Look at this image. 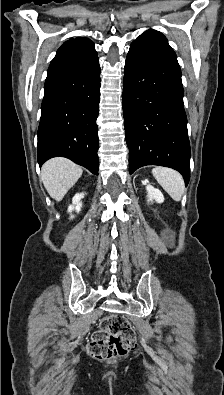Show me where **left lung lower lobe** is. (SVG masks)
<instances>
[{"mask_svg":"<svg viewBox=\"0 0 224 395\" xmlns=\"http://www.w3.org/2000/svg\"><path fill=\"white\" fill-rule=\"evenodd\" d=\"M123 114L129 172L145 165L179 171L190 178V144L176 55L132 42L125 62Z\"/></svg>","mask_w":224,"mask_h":395,"instance_id":"1","label":"left lung lower lobe"}]
</instances>
